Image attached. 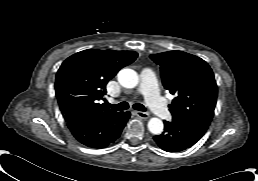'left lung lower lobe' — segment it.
Segmentation results:
<instances>
[{
	"label": "left lung lower lobe",
	"instance_id": "left-lung-lower-lobe-1",
	"mask_svg": "<svg viewBox=\"0 0 258 181\" xmlns=\"http://www.w3.org/2000/svg\"><path fill=\"white\" fill-rule=\"evenodd\" d=\"M202 125L172 119L164 121V132L154 136L157 145L167 152H179L193 146L206 132Z\"/></svg>",
	"mask_w": 258,
	"mask_h": 181
}]
</instances>
